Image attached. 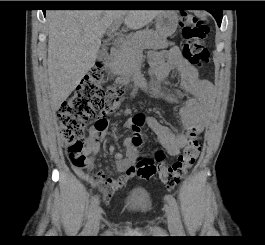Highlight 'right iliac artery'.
<instances>
[{"label":"right iliac artery","mask_w":265,"mask_h":245,"mask_svg":"<svg viewBox=\"0 0 265 245\" xmlns=\"http://www.w3.org/2000/svg\"><path fill=\"white\" fill-rule=\"evenodd\" d=\"M98 205H99V197L97 195H95L92 198V200L88 206V209H87V222H86L85 227H84L83 232H82V235H84V236H89V226H90V223L92 221V218L95 214V211H96Z\"/></svg>","instance_id":"82829eb1"}]
</instances>
